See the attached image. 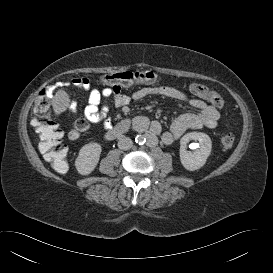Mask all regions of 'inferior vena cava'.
<instances>
[{"mask_svg":"<svg viewBox=\"0 0 273 273\" xmlns=\"http://www.w3.org/2000/svg\"><path fill=\"white\" fill-rule=\"evenodd\" d=\"M133 142L129 137L121 136L118 141V148L121 150H128L132 147Z\"/></svg>","mask_w":273,"mask_h":273,"instance_id":"602c4592","label":"inferior vena cava"}]
</instances>
